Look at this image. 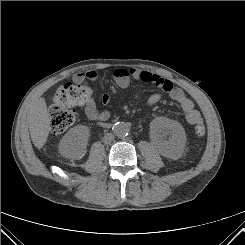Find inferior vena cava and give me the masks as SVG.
Masks as SVG:
<instances>
[{
	"label": "inferior vena cava",
	"mask_w": 245,
	"mask_h": 245,
	"mask_svg": "<svg viewBox=\"0 0 245 245\" xmlns=\"http://www.w3.org/2000/svg\"><path fill=\"white\" fill-rule=\"evenodd\" d=\"M114 140V134L112 133H107L104 135L103 141L105 144H109Z\"/></svg>",
	"instance_id": "602c4592"
}]
</instances>
